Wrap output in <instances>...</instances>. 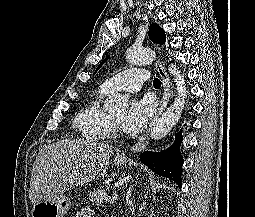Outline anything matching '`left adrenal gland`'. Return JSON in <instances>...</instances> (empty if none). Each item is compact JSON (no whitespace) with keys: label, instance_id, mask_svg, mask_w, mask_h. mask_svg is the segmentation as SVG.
<instances>
[{"label":"left adrenal gland","instance_id":"obj_1","mask_svg":"<svg viewBox=\"0 0 255 217\" xmlns=\"http://www.w3.org/2000/svg\"><path fill=\"white\" fill-rule=\"evenodd\" d=\"M133 190V186L129 188L128 192H127V196H126V201L127 204L130 208V210L132 211V213L134 212V205H133V201L131 200V191Z\"/></svg>","mask_w":255,"mask_h":217}]
</instances>
